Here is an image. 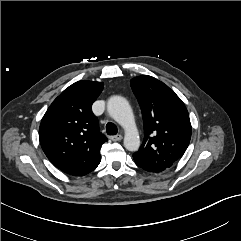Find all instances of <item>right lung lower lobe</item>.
<instances>
[{
    "label": "right lung lower lobe",
    "instance_id": "1",
    "mask_svg": "<svg viewBox=\"0 0 241 241\" xmlns=\"http://www.w3.org/2000/svg\"><path fill=\"white\" fill-rule=\"evenodd\" d=\"M92 171V170H91ZM91 171H89V172H91ZM89 172H86V173H84V174H82V175H85V174H87V173H89Z\"/></svg>",
    "mask_w": 241,
    "mask_h": 241
}]
</instances>
